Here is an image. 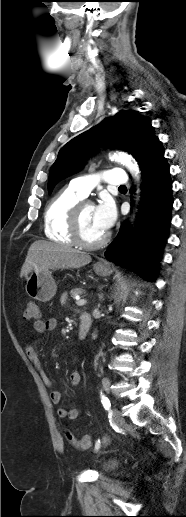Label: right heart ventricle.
<instances>
[{
  "label": "right heart ventricle",
  "instance_id": "obj_1",
  "mask_svg": "<svg viewBox=\"0 0 186 517\" xmlns=\"http://www.w3.org/2000/svg\"><path fill=\"white\" fill-rule=\"evenodd\" d=\"M70 185L60 189L48 203L44 213V233L52 241L74 245L70 218L74 206L83 199Z\"/></svg>",
  "mask_w": 186,
  "mask_h": 517
}]
</instances>
